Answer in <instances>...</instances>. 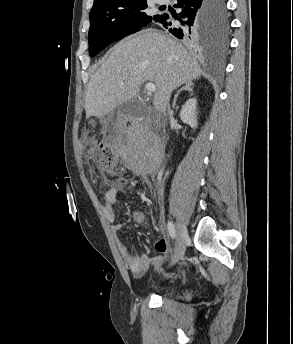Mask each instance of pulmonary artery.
Listing matches in <instances>:
<instances>
[{
  "mask_svg": "<svg viewBox=\"0 0 293 344\" xmlns=\"http://www.w3.org/2000/svg\"><path fill=\"white\" fill-rule=\"evenodd\" d=\"M156 1H157V3H159V4H165V3L168 2V0H156Z\"/></svg>",
  "mask_w": 293,
  "mask_h": 344,
  "instance_id": "1",
  "label": "pulmonary artery"
}]
</instances>
